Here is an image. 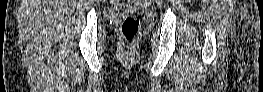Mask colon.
I'll use <instances>...</instances> for the list:
<instances>
[{
  "instance_id": "obj_1",
  "label": "colon",
  "mask_w": 263,
  "mask_h": 92,
  "mask_svg": "<svg viewBox=\"0 0 263 92\" xmlns=\"http://www.w3.org/2000/svg\"><path fill=\"white\" fill-rule=\"evenodd\" d=\"M118 3L119 1H114ZM137 2H144V1H137ZM139 27V19L134 16H127L121 25V33L123 36V46L124 49L127 48L135 41L138 33Z\"/></svg>"
}]
</instances>
